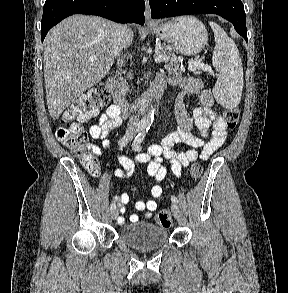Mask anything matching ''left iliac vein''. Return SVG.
Listing matches in <instances>:
<instances>
[{"label": "left iliac vein", "mask_w": 288, "mask_h": 293, "mask_svg": "<svg viewBox=\"0 0 288 293\" xmlns=\"http://www.w3.org/2000/svg\"><path fill=\"white\" fill-rule=\"evenodd\" d=\"M171 210H172V213H173L174 217L178 218L180 210H179V207H178V205L176 203L171 204Z\"/></svg>", "instance_id": "1"}]
</instances>
